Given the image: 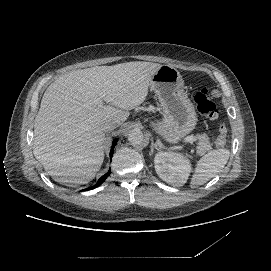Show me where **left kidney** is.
<instances>
[{
    "label": "left kidney",
    "instance_id": "5707ae66",
    "mask_svg": "<svg viewBox=\"0 0 271 271\" xmlns=\"http://www.w3.org/2000/svg\"><path fill=\"white\" fill-rule=\"evenodd\" d=\"M155 169L163 181L175 186L183 185L189 173L188 164L168 152L155 156Z\"/></svg>",
    "mask_w": 271,
    "mask_h": 271
}]
</instances>
